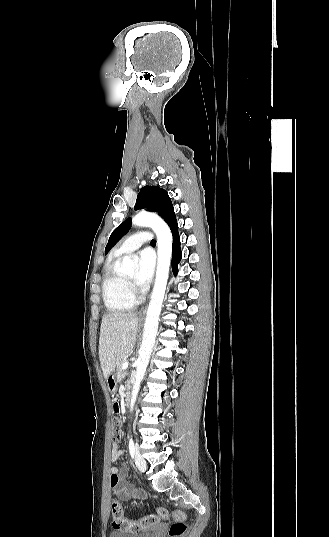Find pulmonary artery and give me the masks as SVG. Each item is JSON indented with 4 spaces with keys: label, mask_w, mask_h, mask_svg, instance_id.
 Returning a JSON list of instances; mask_svg holds the SVG:
<instances>
[{
    "label": "pulmonary artery",
    "mask_w": 329,
    "mask_h": 537,
    "mask_svg": "<svg viewBox=\"0 0 329 537\" xmlns=\"http://www.w3.org/2000/svg\"><path fill=\"white\" fill-rule=\"evenodd\" d=\"M152 235L147 231L137 232L125 239L116 249V254L122 255L139 249L143 244L151 241Z\"/></svg>",
    "instance_id": "obj_1"
}]
</instances>
